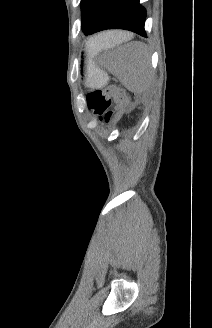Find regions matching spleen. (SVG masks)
Masks as SVG:
<instances>
[{
  "instance_id": "1",
  "label": "spleen",
  "mask_w": 212,
  "mask_h": 328,
  "mask_svg": "<svg viewBox=\"0 0 212 328\" xmlns=\"http://www.w3.org/2000/svg\"><path fill=\"white\" fill-rule=\"evenodd\" d=\"M119 42L112 39L111 32L100 33L92 37L87 43V51L91 56L97 55L102 50L115 47ZM127 58L122 62L118 77L122 84L134 93H142L151 85V71L149 59L143 46L131 43Z\"/></svg>"
}]
</instances>
